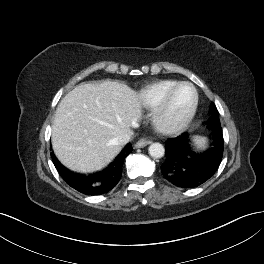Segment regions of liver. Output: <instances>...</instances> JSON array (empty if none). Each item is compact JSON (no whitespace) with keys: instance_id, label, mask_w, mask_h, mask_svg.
Returning <instances> with one entry per match:
<instances>
[{"instance_id":"obj_1","label":"liver","mask_w":264,"mask_h":264,"mask_svg":"<svg viewBox=\"0 0 264 264\" xmlns=\"http://www.w3.org/2000/svg\"><path fill=\"white\" fill-rule=\"evenodd\" d=\"M141 96L123 83L80 84L60 101L52 125L57 159L77 172L106 166L122 149L115 142L132 135L142 115Z\"/></svg>"}]
</instances>
